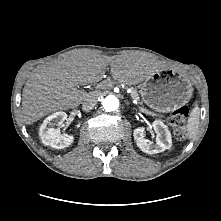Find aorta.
<instances>
[{
    "instance_id": "1",
    "label": "aorta",
    "mask_w": 221,
    "mask_h": 221,
    "mask_svg": "<svg viewBox=\"0 0 221 221\" xmlns=\"http://www.w3.org/2000/svg\"><path fill=\"white\" fill-rule=\"evenodd\" d=\"M102 104L104 110L107 112H113L119 108V100L114 95H108L107 97H105Z\"/></svg>"
}]
</instances>
